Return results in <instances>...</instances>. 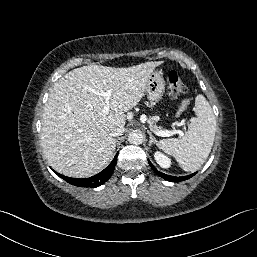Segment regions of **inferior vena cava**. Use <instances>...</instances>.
Listing matches in <instances>:
<instances>
[{
  "label": "inferior vena cava",
  "instance_id": "602c4592",
  "mask_svg": "<svg viewBox=\"0 0 257 257\" xmlns=\"http://www.w3.org/2000/svg\"><path fill=\"white\" fill-rule=\"evenodd\" d=\"M124 127H117V128H115V129H113L112 131H111V133H110V135L112 136V137H117V136H120V135H122L123 133H124Z\"/></svg>",
  "mask_w": 257,
  "mask_h": 257
}]
</instances>
